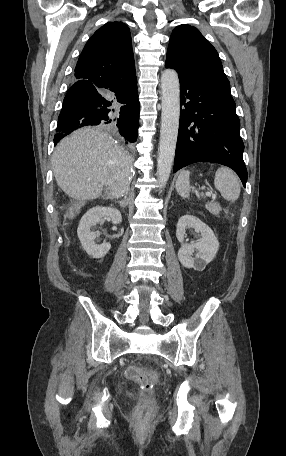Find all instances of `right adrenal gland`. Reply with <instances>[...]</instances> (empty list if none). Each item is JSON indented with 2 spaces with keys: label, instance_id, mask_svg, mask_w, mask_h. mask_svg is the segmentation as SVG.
I'll list each match as a JSON object with an SVG mask.
<instances>
[{
  "label": "right adrenal gland",
  "instance_id": "obj_1",
  "mask_svg": "<svg viewBox=\"0 0 286 456\" xmlns=\"http://www.w3.org/2000/svg\"><path fill=\"white\" fill-rule=\"evenodd\" d=\"M129 199L127 197H124L123 200L119 201V205L122 209H125L128 205Z\"/></svg>",
  "mask_w": 286,
  "mask_h": 456
}]
</instances>
